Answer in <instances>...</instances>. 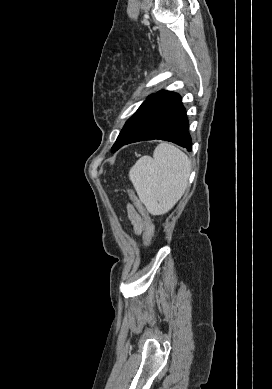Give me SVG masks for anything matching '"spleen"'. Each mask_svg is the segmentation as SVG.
<instances>
[{
  "mask_svg": "<svg viewBox=\"0 0 272 389\" xmlns=\"http://www.w3.org/2000/svg\"><path fill=\"white\" fill-rule=\"evenodd\" d=\"M190 161L170 143H160L153 158L141 157L129 171L141 202L152 215L171 210L182 197L190 174Z\"/></svg>",
  "mask_w": 272,
  "mask_h": 389,
  "instance_id": "1",
  "label": "spleen"
}]
</instances>
